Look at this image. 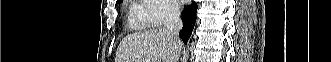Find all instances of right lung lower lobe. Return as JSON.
<instances>
[{
	"mask_svg": "<svg viewBox=\"0 0 331 62\" xmlns=\"http://www.w3.org/2000/svg\"><path fill=\"white\" fill-rule=\"evenodd\" d=\"M196 12L197 3L195 2L186 6L184 8V11L182 12L183 28L180 31L179 35L185 44L187 43L188 38L191 36L193 27L195 25Z\"/></svg>",
	"mask_w": 331,
	"mask_h": 62,
	"instance_id": "1",
	"label": "right lung lower lobe"
}]
</instances>
